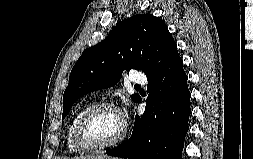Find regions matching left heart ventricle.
<instances>
[{
  "label": "left heart ventricle",
  "instance_id": "left-heart-ventricle-1",
  "mask_svg": "<svg viewBox=\"0 0 253 159\" xmlns=\"http://www.w3.org/2000/svg\"><path fill=\"white\" fill-rule=\"evenodd\" d=\"M122 130V118L113 109L95 113L86 125V139L92 144H101L116 138Z\"/></svg>",
  "mask_w": 253,
  "mask_h": 159
}]
</instances>
